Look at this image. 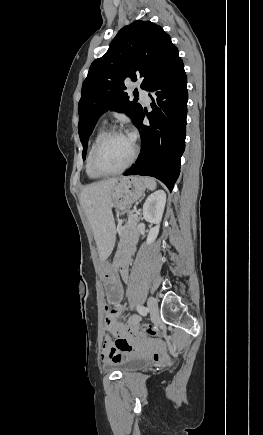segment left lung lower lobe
Segmentation results:
<instances>
[{"mask_svg":"<svg viewBox=\"0 0 263 435\" xmlns=\"http://www.w3.org/2000/svg\"><path fill=\"white\" fill-rule=\"evenodd\" d=\"M149 91L157 97L148 115L150 126L143 124L142 111L136 124L143 142L141 153L124 175L153 176L172 191L180 173L186 137L187 77L181 58Z\"/></svg>","mask_w":263,"mask_h":435,"instance_id":"1","label":"left lung lower lobe"}]
</instances>
